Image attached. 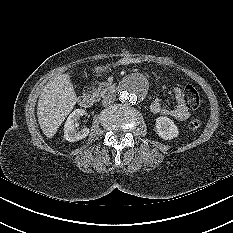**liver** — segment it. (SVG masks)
I'll return each instance as SVG.
<instances>
[{
  "label": "liver",
  "instance_id": "liver-1",
  "mask_svg": "<svg viewBox=\"0 0 233 233\" xmlns=\"http://www.w3.org/2000/svg\"><path fill=\"white\" fill-rule=\"evenodd\" d=\"M77 102L68 73L51 80L43 89L37 104L38 123L42 132L52 138Z\"/></svg>",
  "mask_w": 233,
  "mask_h": 233
}]
</instances>
